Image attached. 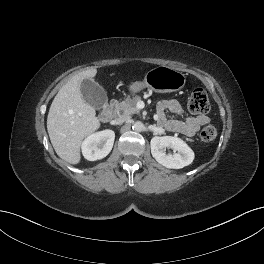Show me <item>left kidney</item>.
<instances>
[{"instance_id":"obj_1","label":"left kidney","mask_w":264,"mask_h":264,"mask_svg":"<svg viewBox=\"0 0 264 264\" xmlns=\"http://www.w3.org/2000/svg\"><path fill=\"white\" fill-rule=\"evenodd\" d=\"M150 146L152 156L166 168L181 169L194 160L192 149L178 137L155 136L151 139ZM166 148H171L174 153L166 154Z\"/></svg>"}]
</instances>
